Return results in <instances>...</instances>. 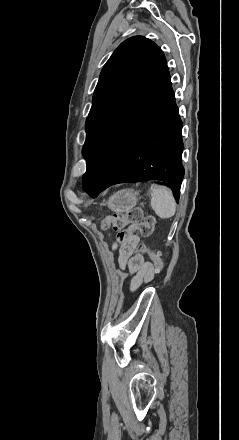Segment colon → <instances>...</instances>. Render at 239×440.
I'll return each mask as SVG.
<instances>
[{
    "instance_id": "obj_1",
    "label": "colon",
    "mask_w": 239,
    "mask_h": 440,
    "mask_svg": "<svg viewBox=\"0 0 239 440\" xmlns=\"http://www.w3.org/2000/svg\"><path fill=\"white\" fill-rule=\"evenodd\" d=\"M154 218L145 215L139 207L129 209L124 214H114L106 217L102 221L104 228L112 227L118 232L117 239L124 242L127 238L138 232L142 237H148L152 234L154 228ZM138 253H147L153 263L154 269L159 272L162 270L163 262L159 252L149 249L145 244H140L137 248Z\"/></svg>"
}]
</instances>
